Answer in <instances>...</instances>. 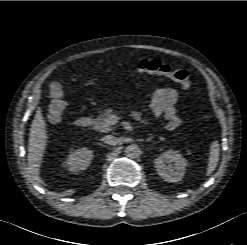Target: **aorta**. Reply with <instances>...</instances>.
<instances>
[{
	"label": "aorta",
	"instance_id": "762f6f07",
	"mask_svg": "<svg viewBox=\"0 0 247 245\" xmlns=\"http://www.w3.org/2000/svg\"><path fill=\"white\" fill-rule=\"evenodd\" d=\"M140 153V148L136 144H130L125 148V155L130 159L138 158Z\"/></svg>",
	"mask_w": 247,
	"mask_h": 245
}]
</instances>
